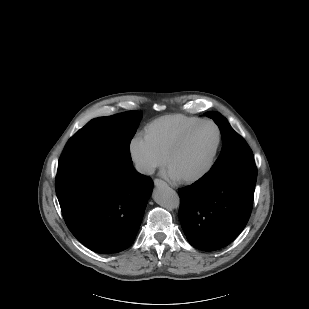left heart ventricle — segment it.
<instances>
[{
    "mask_svg": "<svg viewBox=\"0 0 309 309\" xmlns=\"http://www.w3.org/2000/svg\"><path fill=\"white\" fill-rule=\"evenodd\" d=\"M217 143V131L213 125L204 124L195 129L168 166L179 178L192 176L208 164Z\"/></svg>",
    "mask_w": 309,
    "mask_h": 309,
    "instance_id": "b2bd125f",
    "label": "left heart ventricle"
}]
</instances>
